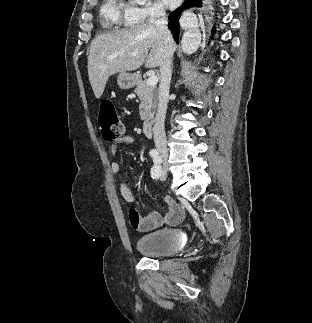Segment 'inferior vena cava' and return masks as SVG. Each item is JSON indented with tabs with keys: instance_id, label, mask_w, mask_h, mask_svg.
Segmentation results:
<instances>
[{
	"instance_id": "obj_1",
	"label": "inferior vena cava",
	"mask_w": 312,
	"mask_h": 323,
	"mask_svg": "<svg viewBox=\"0 0 312 323\" xmlns=\"http://www.w3.org/2000/svg\"><path fill=\"white\" fill-rule=\"evenodd\" d=\"M150 24H154L158 30L162 40V56L160 64V84L158 90V108L155 118L154 142L158 150L167 152V140L165 134V116L167 110V100L170 90V80L172 78V58L175 52V42L172 38L170 30H168V22L165 10H156L152 14Z\"/></svg>"
}]
</instances>
